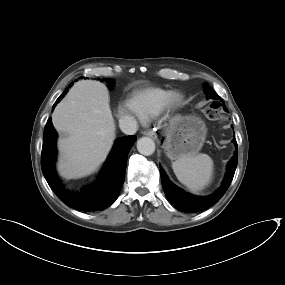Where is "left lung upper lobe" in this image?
<instances>
[{
	"label": "left lung upper lobe",
	"instance_id": "5c2ea615",
	"mask_svg": "<svg viewBox=\"0 0 285 285\" xmlns=\"http://www.w3.org/2000/svg\"><path fill=\"white\" fill-rule=\"evenodd\" d=\"M204 91L209 95L208 98L220 99V96L210 86L206 85Z\"/></svg>",
	"mask_w": 285,
	"mask_h": 285
}]
</instances>
